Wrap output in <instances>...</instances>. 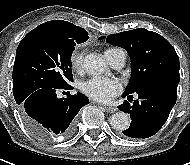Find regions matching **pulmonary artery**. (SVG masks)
Masks as SVG:
<instances>
[{"instance_id": "pulmonary-artery-1", "label": "pulmonary artery", "mask_w": 190, "mask_h": 165, "mask_svg": "<svg viewBox=\"0 0 190 165\" xmlns=\"http://www.w3.org/2000/svg\"><path fill=\"white\" fill-rule=\"evenodd\" d=\"M126 60V53L124 50L122 49H117L114 53H113V57L110 61V64L114 67V68H121Z\"/></svg>"}]
</instances>
